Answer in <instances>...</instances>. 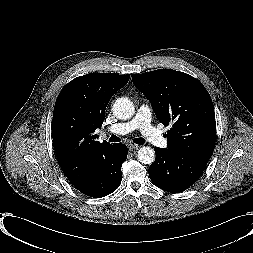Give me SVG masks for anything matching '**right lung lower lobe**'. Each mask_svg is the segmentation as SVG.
<instances>
[{"label": "right lung lower lobe", "mask_w": 253, "mask_h": 253, "mask_svg": "<svg viewBox=\"0 0 253 253\" xmlns=\"http://www.w3.org/2000/svg\"><path fill=\"white\" fill-rule=\"evenodd\" d=\"M127 147L114 144L110 156L93 173L90 181L78 190L90 197L101 198L114 192L121 183V165L127 158Z\"/></svg>", "instance_id": "98d812e1"}]
</instances>
